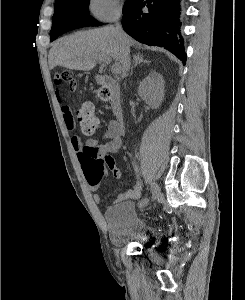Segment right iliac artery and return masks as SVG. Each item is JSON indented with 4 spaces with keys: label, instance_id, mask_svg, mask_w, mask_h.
Returning a JSON list of instances; mask_svg holds the SVG:
<instances>
[{
    "label": "right iliac artery",
    "instance_id": "obj_1",
    "mask_svg": "<svg viewBox=\"0 0 245 300\" xmlns=\"http://www.w3.org/2000/svg\"><path fill=\"white\" fill-rule=\"evenodd\" d=\"M133 165H134V163H133ZM136 170H137V167H136ZM149 201H150V198L148 197V196H144L143 197V200L139 203L141 206L142 205H147L148 203H149Z\"/></svg>",
    "mask_w": 245,
    "mask_h": 300
}]
</instances>
